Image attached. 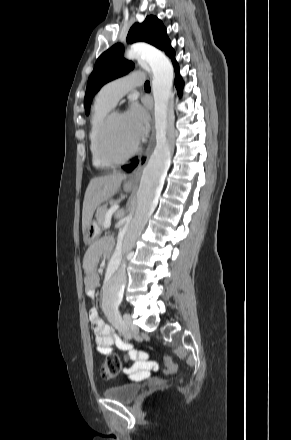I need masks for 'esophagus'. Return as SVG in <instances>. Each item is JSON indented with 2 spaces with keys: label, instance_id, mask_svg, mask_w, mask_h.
<instances>
[{
  "label": "esophagus",
  "instance_id": "1",
  "mask_svg": "<svg viewBox=\"0 0 291 440\" xmlns=\"http://www.w3.org/2000/svg\"><path fill=\"white\" fill-rule=\"evenodd\" d=\"M154 144H155V128L153 126L146 150L140 155L139 164H138L137 168L134 170L133 173L130 174V176L128 178L129 183H131L133 185H137L138 179L140 177V173H141L143 167L148 162V159H149V156L153 150Z\"/></svg>",
  "mask_w": 291,
  "mask_h": 440
}]
</instances>
